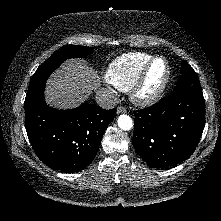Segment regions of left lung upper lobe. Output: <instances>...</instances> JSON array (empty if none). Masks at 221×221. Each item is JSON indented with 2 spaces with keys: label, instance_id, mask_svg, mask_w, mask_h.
<instances>
[{
  "label": "left lung upper lobe",
  "instance_id": "left-lung-upper-lobe-1",
  "mask_svg": "<svg viewBox=\"0 0 221 221\" xmlns=\"http://www.w3.org/2000/svg\"><path fill=\"white\" fill-rule=\"evenodd\" d=\"M171 94H188L196 97H203L199 79L186 61L182 63L181 76Z\"/></svg>",
  "mask_w": 221,
  "mask_h": 221
}]
</instances>
